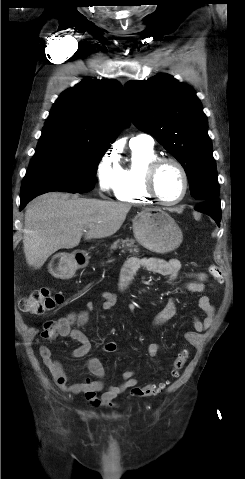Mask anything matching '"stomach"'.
Returning <instances> with one entry per match:
<instances>
[{"label": "stomach", "instance_id": "0dacf381", "mask_svg": "<svg viewBox=\"0 0 245 479\" xmlns=\"http://www.w3.org/2000/svg\"><path fill=\"white\" fill-rule=\"evenodd\" d=\"M133 233L143 247L156 253L175 250L183 239L175 220L162 210L145 209L139 212L133 219ZM76 269V260L67 253L55 254L48 264L52 276L60 279L71 278Z\"/></svg>", "mask_w": 245, "mask_h": 479}]
</instances>
